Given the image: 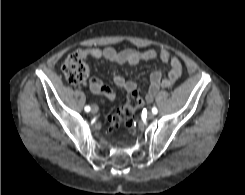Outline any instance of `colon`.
Instances as JSON below:
<instances>
[{"instance_id": "5ec220e1", "label": "colon", "mask_w": 245, "mask_h": 195, "mask_svg": "<svg viewBox=\"0 0 245 195\" xmlns=\"http://www.w3.org/2000/svg\"><path fill=\"white\" fill-rule=\"evenodd\" d=\"M62 72L70 83L80 84L87 79L89 68L79 53H73L62 64ZM142 101L143 98L139 91L131 93L127 102L108 118L107 126L110 129H117L122 125L132 128L134 126L133 115Z\"/></svg>"}]
</instances>
